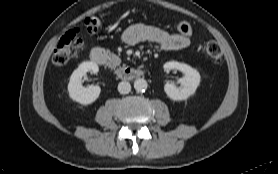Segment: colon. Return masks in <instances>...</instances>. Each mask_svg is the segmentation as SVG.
<instances>
[{
    "label": "colon",
    "instance_id": "obj_1",
    "mask_svg": "<svg viewBox=\"0 0 278 174\" xmlns=\"http://www.w3.org/2000/svg\"><path fill=\"white\" fill-rule=\"evenodd\" d=\"M103 24L104 17L102 15L90 16L84 20V25L89 32L98 31L103 26ZM178 31L185 36H189L192 34V27L188 22L183 21L178 24ZM82 46L83 40L80 37L78 30L67 32L60 39L54 50L52 57L53 63L56 66L66 65L69 61L77 56ZM205 50L210 60H212L214 63L221 62L222 50L216 42L210 41L207 43Z\"/></svg>",
    "mask_w": 278,
    "mask_h": 174
}]
</instances>
